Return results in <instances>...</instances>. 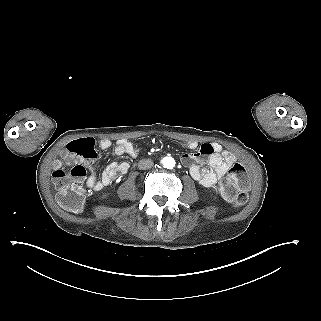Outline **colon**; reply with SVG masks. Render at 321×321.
<instances>
[{
    "label": "colon",
    "instance_id": "5ec220e1",
    "mask_svg": "<svg viewBox=\"0 0 321 321\" xmlns=\"http://www.w3.org/2000/svg\"><path fill=\"white\" fill-rule=\"evenodd\" d=\"M97 153L91 138L70 142L56 161L52 173L58 189V201L67 211L79 213L83 210L86 193L83 187L86 170L78 162L95 159ZM249 177L242 163H234L219 186L220 193L234 206L243 205L248 198Z\"/></svg>",
    "mask_w": 321,
    "mask_h": 321
}]
</instances>
